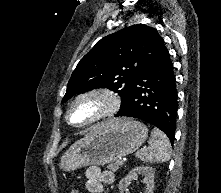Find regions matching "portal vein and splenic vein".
I'll use <instances>...</instances> for the list:
<instances>
[{
    "label": "portal vein and splenic vein",
    "instance_id": "1",
    "mask_svg": "<svg viewBox=\"0 0 221 193\" xmlns=\"http://www.w3.org/2000/svg\"><path fill=\"white\" fill-rule=\"evenodd\" d=\"M120 161H121V162H124L122 158H120Z\"/></svg>",
    "mask_w": 221,
    "mask_h": 193
}]
</instances>
